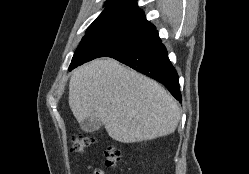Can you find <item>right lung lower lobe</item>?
<instances>
[{"label":"right lung lower lobe","instance_id":"right-lung-lower-lobe-1","mask_svg":"<svg viewBox=\"0 0 249 174\" xmlns=\"http://www.w3.org/2000/svg\"><path fill=\"white\" fill-rule=\"evenodd\" d=\"M110 57L159 81L181 102L178 74L155 27L143 43Z\"/></svg>","mask_w":249,"mask_h":174}]
</instances>
